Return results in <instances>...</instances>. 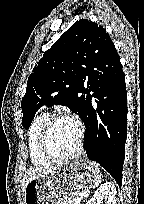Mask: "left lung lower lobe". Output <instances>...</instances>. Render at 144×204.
I'll list each match as a JSON object with an SVG mask.
<instances>
[{
	"instance_id": "obj_1",
	"label": "left lung lower lobe",
	"mask_w": 144,
	"mask_h": 204,
	"mask_svg": "<svg viewBox=\"0 0 144 204\" xmlns=\"http://www.w3.org/2000/svg\"><path fill=\"white\" fill-rule=\"evenodd\" d=\"M84 89L87 157L122 184L127 137V92L120 59L105 67L91 66ZM89 92H93L90 94Z\"/></svg>"
}]
</instances>
